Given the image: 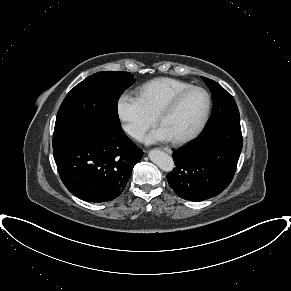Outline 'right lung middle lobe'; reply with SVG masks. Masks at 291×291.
Returning <instances> with one entry per match:
<instances>
[{"label":"right lung middle lobe","mask_w":291,"mask_h":291,"mask_svg":"<svg viewBox=\"0 0 291 291\" xmlns=\"http://www.w3.org/2000/svg\"><path fill=\"white\" fill-rule=\"evenodd\" d=\"M129 72H98L76 85L63 100L53 134V149L86 132L121 130L117 103L134 83Z\"/></svg>","instance_id":"obj_1"}]
</instances>
